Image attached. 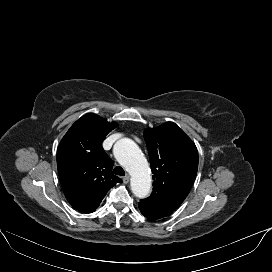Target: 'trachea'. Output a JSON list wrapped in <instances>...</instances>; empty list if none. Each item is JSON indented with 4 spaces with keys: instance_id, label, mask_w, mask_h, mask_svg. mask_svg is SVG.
I'll list each match as a JSON object with an SVG mask.
<instances>
[{
    "instance_id": "1",
    "label": "trachea",
    "mask_w": 272,
    "mask_h": 272,
    "mask_svg": "<svg viewBox=\"0 0 272 272\" xmlns=\"http://www.w3.org/2000/svg\"><path fill=\"white\" fill-rule=\"evenodd\" d=\"M113 171H114V173L116 175H119V176H124L125 175V171L120 166H116Z\"/></svg>"
}]
</instances>
